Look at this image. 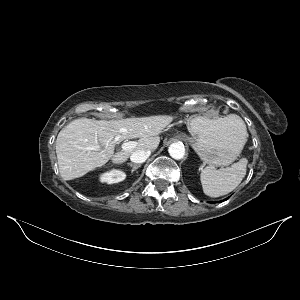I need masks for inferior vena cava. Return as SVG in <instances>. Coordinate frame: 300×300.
I'll return each instance as SVG.
<instances>
[{
	"label": "inferior vena cava",
	"instance_id": "inferior-vena-cava-1",
	"mask_svg": "<svg viewBox=\"0 0 300 300\" xmlns=\"http://www.w3.org/2000/svg\"><path fill=\"white\" fill-rule=\"evenodd\" d=\"M150 154V150L138 149L131 154L130 159L134 163H143L148 159Z\"/></svg>",
	"mask_w": 300,
	"mask_h": 300
}]
</instances>
